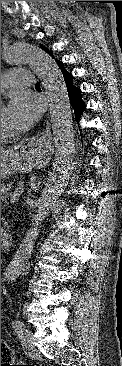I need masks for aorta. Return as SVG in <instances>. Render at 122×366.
<instances>
[{
  "instance_id": "aorta-1",
  "label": "aorta",
  "mask_w": 122,
  "mask_h": 366,
  "mask_svg": "<svg viewBox=\"0 0 122 366\" xmlns=\"http://www.w3.org/2000/svg\"><path fill=\"white\" fill-rule=\"evenodd\" d=\"M2 55L10 66H29L41 79L50 106V122L55 142V156L44 185L30 229L14 256L18 264L16 274L29 258L39 229L50 209L64 192L72 176L75 161L73 119L67 88L55 60L36 45L17 42L3 48Z\"/></svg>"
}]
</instances>
